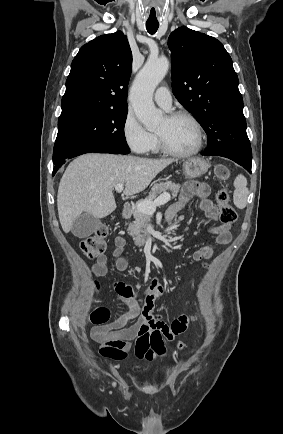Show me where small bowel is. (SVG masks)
Returning <instances> with one entry per match:
<instances>
[{
  "label": "small bowel",
  "instance_id": "1",
  "mask_svg": "<svg viewBox=\"0 0 283 434\" xmlns=\"http://www.w3.org/2000/svg\"><path fill=\"white\" fill-rule=\"evenodd\" d=\"M209 194V187L205 183H186L177 202L169 208L167 219L172 220L178 217L194 198H198L200 208L207 218L215 222L218 210L209 199ZM208 232L219 245H227L232 239L229 224H212L208 227ZM125 244L126 240L122 236H117L114 240L112 255L115 258V268L120 272L125 271L128 267V261L124 256ZM212 255V247L205 244L195 250L192 257L205 267H209L208 260ZM92 272L96 277L108 275V259L105 255L97 258L96 263L92 266ZM111 285L114 292L127 304L128 311L110 323L92 328L91 336L101 344L99 352L104 357L122 360L127 357L131 349H134L138 359L148 361L156 358L162 359L166 355L164 341L173 340L186 330L190 322L198 318V315H183L171 324H167L159 315L154 314V303L163 294V287L157 280L149 284L142 305L136 300L137 294L131 286L119 280H113Z\"/></svg>",
  "mask_w": 283,
  "mask_h": 434
}]
</instances>
